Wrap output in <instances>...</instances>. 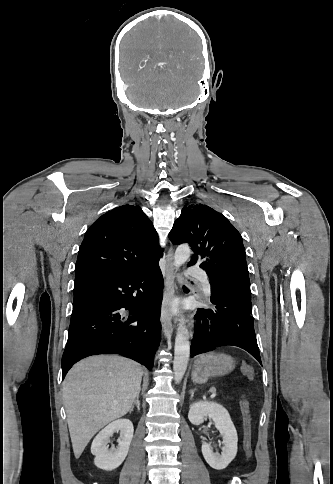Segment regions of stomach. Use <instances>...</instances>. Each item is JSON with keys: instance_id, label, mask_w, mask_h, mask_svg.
I'll list each match as a JSON object with an SVG mask.
<instances>
[{"instance_id": "obj_1", "label": "stomach", "mask_w": 333, "mask_h": 484, "mask_svg": "<svg viewBox=\"0 0 333 484\" xmlns=\"http://www.w3.org/2000/svg\"><path fill=\"white\" fill-rule=\"evenodd\" d=\"M235 368L233 358L224 353H205L195 358L192 380L204 384L210 377L228 374Z\"/></svg>"}]
</instances>
